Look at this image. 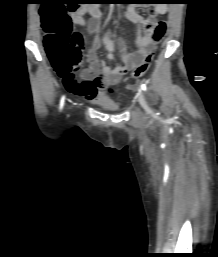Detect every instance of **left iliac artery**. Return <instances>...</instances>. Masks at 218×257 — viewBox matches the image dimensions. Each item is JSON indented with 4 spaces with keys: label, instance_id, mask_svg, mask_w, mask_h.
Instances as JSON below:
<instances>
[{
    "label": "left iliac artery",
    "instance_id": "obj_1",
    "mask_svg": "<svg viewBox=\"0 0 218 257\" xmlns=\"http://www.w3.org/2000/svg\"><path fill=\"white\" fill-rule=\"evenodd\" d=\"M141 89L146 91L147 90L146 84H141Z\"/></svg>",
    "mask_w": 218,
    "mask_h": 257
}]
</instances>
